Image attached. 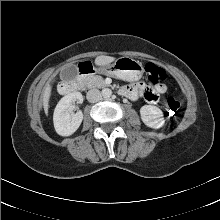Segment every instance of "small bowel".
<instances>
[{
    "label": "small bowel",
    "mask_w": 220,
    "mask_h": 220,
    "mask_svg": "<svg viewBox=\"0 0 220 220\" xmlns=\"http://www.w3.org/2000/svg\"><path fill=\"white\" fill-rule=\"evenodd\" d=\"M165 91L166 87L163 84H154L148 87L145 83L138 82L124 87L121 92L131 99L143 96L149 103L154 104Z\"/></svg>",
    "instance_id": "1"
}]
</instances>
